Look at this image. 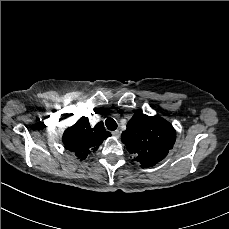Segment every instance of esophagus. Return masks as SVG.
<instances>
[{
	"mask_svg": "<svg viewBox=\"0 0 229 229\" xmlns=\"http://www.w3.org/2000/svg\"><path fill=\"white\" fill-rule=\"evenodd\" d=\"M112 135L115 136L116 138H119L120 137V131L119 130L112 131Z\"/></svg>",
	"mask_w": 229,
	"mask_h": 229,
	"instance_id": "34e87169",
	"label": "esophagus"
}]
</instances>
